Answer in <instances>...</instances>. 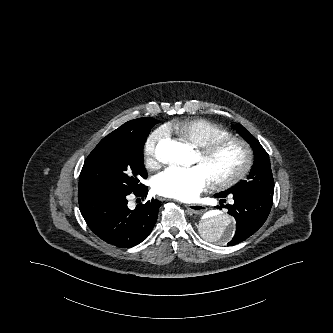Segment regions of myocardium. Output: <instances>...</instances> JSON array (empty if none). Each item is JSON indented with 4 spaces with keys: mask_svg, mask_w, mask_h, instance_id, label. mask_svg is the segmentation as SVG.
Returning a JSON list of instances; mask_svg holds the SVG:
<instances>
[{
    "mask_svg": "<svg viewBox=\"0 0 333 333\" xmlns=\"http://www.w3.org/2000/svg\"><path fill=\"white\" fill-rule=\"evenodd\" d=\"M228 145L238 146L242 150L243 158L241 165L235 171L226 176L214 177L211 179L212 184L220 188L230 187L237 184L250 172L254 159L251 146L243 139L228 136L198 147V154L203 159H207Z\"/></svg>",
    "mask_w": 333,
    "mask_h": 333,
    "instance_id": "myocardium-1",
    "label": "myocardium"
}]
</instances>
